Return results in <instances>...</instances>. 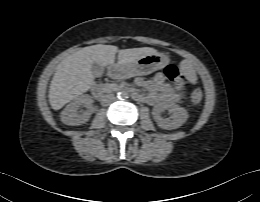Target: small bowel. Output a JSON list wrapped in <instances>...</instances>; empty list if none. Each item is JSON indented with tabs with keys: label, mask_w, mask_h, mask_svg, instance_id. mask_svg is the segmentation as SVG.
Masks as SVG:
<instances>
[{
	"label": "small bowel",
	"mask_w": 260,
	"mask_h": 202,
	"mask_svg": "<svg viewBox=\"0 0 260 202\" xmlns=\"http://www.w3.org/2000/svg\"><path fill=\"white\" fill-rule=\"evenodd\" d=\"M136 84L148 90L149 93L146 96L139 93L138 99L144 100L150 105H156L166 101H181L180 94L166 83L162 73H157L151 80H144L138 77L136 78Z\"/></svg>",
	"instance_id": "1"
}]
</instances>
